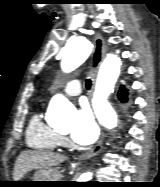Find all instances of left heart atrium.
Returning <instances> with one entry per match:
<instances>
[{
    "label": "left heart atrium",
    "instance_id": "1",
    "mask_svg": "<svg viewBox=\"0 0 160 187\" xmlns=\"http://www.w3.org/2000/svg\"><path fill=\"white\" fill-rule=\"evenodd\" d=\"M99 135L98 126L91 110L83 106L76 115L71 137L80 145H90L96 141Z\"/></svg>",
    "mask_w": 160,
    "mask_h": 187
}]
</instances>
